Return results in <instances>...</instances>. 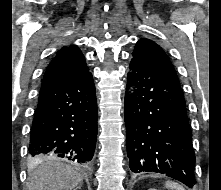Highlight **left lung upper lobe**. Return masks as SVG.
<instances>
[{"label":"left lung upper lobe","instance_id":"left-lung-upper-lobe-1","mask_svg":"<svg viewBox=\"0 0 221 190\" xmlns=\"http://www.w3.org/2000/svg\"><path fill=\"white\" fill-rule=\"evenodd\" d=\"M133 58L151 64L173 80L179 82L176 71L163 49L149 39H141L136 43Z\"/></svg>","mask_w":221,"mask_h":190}]
</instances>
